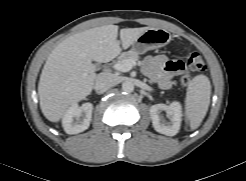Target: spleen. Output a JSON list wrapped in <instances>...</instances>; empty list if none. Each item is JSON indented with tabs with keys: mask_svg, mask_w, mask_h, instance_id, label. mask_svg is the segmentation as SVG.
Wrapping results in <instances>:
<instances>
[{
	"mask_svg": "<svg viewBox=\"0 0 246 181\" xmlns=\"http://www.w3.org/2000/svg\"><path fill=\"white\" fill-rule=\"evenodd\" d=\"M211 83L207 76L197 75L189 83L185 97V115L191 129L203 121L210 105Z\"/></svg>",
	"mask_w": 246,
	"mask_h": 181,
	"instance_id": "3e777b00",
	"label": "spleen"
}]
</instances>
